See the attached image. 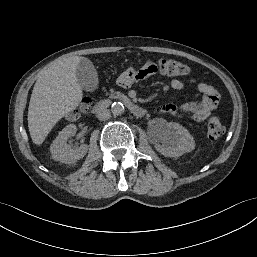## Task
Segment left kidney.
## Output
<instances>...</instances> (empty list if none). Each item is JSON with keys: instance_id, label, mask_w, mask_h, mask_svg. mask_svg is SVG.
Listing matches in <instances>:
<instances>
[{"instance_id": "5707ae66", "label": "left kidney", "mask_w": 257, "mask_h": 257, "mask_svg": "<svg viewBox=\"0 0 257 257\" xmlns=\"http://www.w3.org/2000/svg\"><path fill=\"white\" fill-rule=\"evenodd\" d=\"M195 148V141L182 125L166 123L158 136L156 150L166 157H179Z\"/></svg>"}]
</instances>
